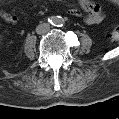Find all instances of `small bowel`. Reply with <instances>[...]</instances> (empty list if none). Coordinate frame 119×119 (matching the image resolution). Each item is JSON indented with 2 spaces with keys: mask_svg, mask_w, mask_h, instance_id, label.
<instances>
[{
  "mask_svg": "<svg viewBox=\"0 0 119 119\" xmlns=\"http://www.w3.org/2000/svg\"><path fill=\"white\" fill-rule=\"evenodd\" d=\"M79 6L84 12L87 13L85 22L88 25H96L102 22L103 14L100 6L97 3L91 2L89 0H80ZM68 13L70 15L77 16L79 15V10L73 8L70 9ZM1 17L5 22L10 24H15L17 22V17L8 11H2Z\"/></svg>",
  "mask_w": 119,
  "mask_h": 119,
  "instance_id": "small-bowel-1",
  "label": "small bowel"
}]
</instances>
